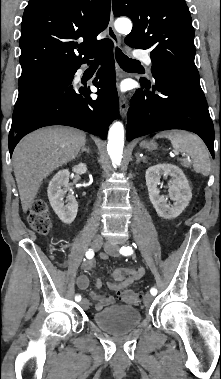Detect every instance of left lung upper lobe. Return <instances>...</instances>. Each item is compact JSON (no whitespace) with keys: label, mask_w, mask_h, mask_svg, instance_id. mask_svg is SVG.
I'll return each instance as SVG.
<instances>
[{"label":"left lung upper lobe","mask_w":221,"mask_h":379,"mask_svg":"<svg viewBox=\"0 0 221 379\" xmlns=\"http://www.w3.org/2000/svg\"><path fill=\"white\" fill-rule=\"evenodd\" d=\"M113 13L128 16L132 48L150 49L152 67L199 78L194 64V28L184 0H112Z\"/></svg>","instance_id":"left-lung-upper-lobe-1"}]
</instances>
